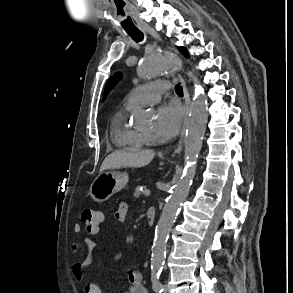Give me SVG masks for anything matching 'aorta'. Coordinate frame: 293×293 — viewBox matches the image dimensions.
Returning <instances> with one entry per match:
<instances>
[{"instance_id":"762f6f07","label":"aorta","mask_w":293,"mask_h":293,"mask_svg":"<svg viewBox=\"0 0 293 293\" xmlns=\"http://www.w3.org/2000/svg\"><path fill=\"white\" fill-rule=\"evenodd\" d=\"M180 64L181 60L174 52L159 50L142 59L138 74L141 79H151L170 73ZM207 109L206 96L202 89L197 88L192 100L184 139L185 167L181 177L172 188L156 226L151 257L152 271H158L163 267L170 230L178 215L180 206L188 196L195 176L197 158L202 147V138L205 134L208 118ZM138 120L143 123L147 121L144 116H139Z\"/></svg>"}]
</instances>
